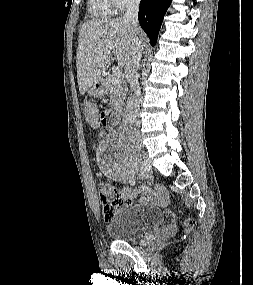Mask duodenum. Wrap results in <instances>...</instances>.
Here are the masks:
<instances>
[{
  "instance_id": "duodenum-1",
  "label": "duodenum",
  "mask_w": 253,
  "mask_h": 285,
  "mask_svg": "<svg viewBox=\"0 0 253 285\" xmlns=\"http://www.w3.org/2000/svg\"><path fill=\"white\" fill-rule=\"evenodd\" d=\"M95 88H96V90H97L98 92L102 91V90H103V84H102V82L97 83L96 86H95ZM120 115H121V113H120L119 110H118V111H115V112H112V113L109 114V120H110L113 124H115V123H117V122L120 120Z\"/></svg>"
}]
</instances>
